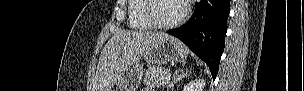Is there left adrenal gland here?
<instances>
[{
	"instance_id": "left-adrenal-gland-1",
	"label": "left adrenal gland",
	"mask_w": 304,
	"mask_h": 91,
	"mask_svg": "<svg viewBox=\"0 0 304 91\" xmlns=\"http://www.w3.org/2000/svg\"><path fill=\"white\" fill-rule=\"evenodd\" d=\"M190 73L188 71L176 70L173 74L172 81L167 86V91L174 87V85L185 77H188Z\"/></svg>"
}]
</instances>
